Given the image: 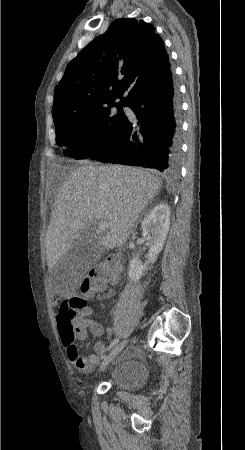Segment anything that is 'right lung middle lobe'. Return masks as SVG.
<instances>
[{
    "mask_svg": "<svg viewBox=\"0 0 245 450\" xmlns=\"http://www.w3.org/2000/svg\"><path fill=\"white\" fill-rule=\"evenodd\" d=\"M122 106L125 104L81 111L69 107L52 110L57 142L62 146L67 145L71 149L67 153L74 159L88 158L106 149L117 139L127 119ZM112 107H117V112Z\"/></svg>",
    "mask_w": 245,
    "mask_h": 450,
    "instance_id": "obj_1",
    "label": "right lung middle lobe"
}]
</instances>
